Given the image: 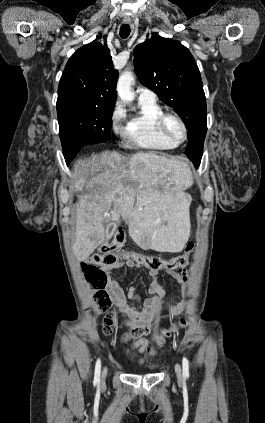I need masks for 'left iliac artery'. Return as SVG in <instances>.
Wrapping results in <instances>:
<instances>
[{
    "label": "left iliac artery",
    "instance_id": "1",
    "mask_svg": "<svg viewBox=\"0 0 265 423\" xmlns=\"http://www.w3.org/2000/svg\"><path fill=\"white\" fill-rule=\"evenodd\" d=\"M182 366H183V376L189 377V361L186 357H183Z\"/></svg>",
    "mask_w": 265,
    "mask_h": 423
}]
</instances>
